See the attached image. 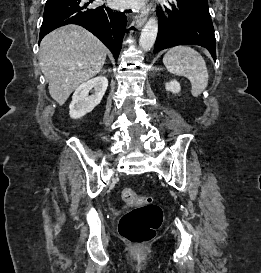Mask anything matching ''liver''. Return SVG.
<instances>
[{"label":"liver","mask_w":261,"mask_h":273,"mask_svg":"<svg viewBox=\"0 0 261 273\" xmlns=\"http://www.w3.org/2000/svg\"><path fill=\"white\" fill-rule=\"evenodd\" d=\"M106 55L104 44L83 27L67 25L46 35L40 43L39 65L51 97L62 106L75 89L101 71Z\"/></svg>","instance_id":"liver-1"}]
</instances>
